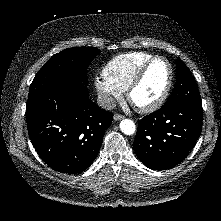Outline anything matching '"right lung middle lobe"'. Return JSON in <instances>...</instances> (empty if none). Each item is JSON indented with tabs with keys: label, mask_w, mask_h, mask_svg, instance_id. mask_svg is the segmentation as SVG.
Wrapping results in <instances>:
<instances>
[{
	"label": "right lung middle lobe",
	"mask_w": 221,
	"mask_h": 221,
	"mask_svg": "<svg viewBox=\"0 0 221 221\" xmlns=\"http://www.w3.org/2000/svg\"><path fill=\"white\" fill-rule=\"evenodd\" d=\"M100 50L92 47L68 48L54 54L39 70L30 85L27 104L56 84L77 81L88 84L87 69Z\"/></svg>",
	"instance_id": "dd1d6c3e"
}]
</instances>
